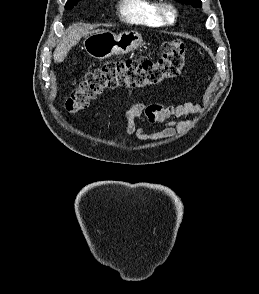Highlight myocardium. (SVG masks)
Wrapping results in <instances>:
<instances>
[{"label":"myocardium","mask_w":259,"mask_h":294,"mask_svg":"<svg viewBox=\"0 0 259 294\" xmlns=\"http://www.w3.org/2000/svg\"><path fill=\"white\" fill-rule=\"evenodd\" d=\"M155 14L161 23L171 25L177 20L176 9L168 2H160L155 5Z\"/></svg>","instance_id":"f54148a6"}]
</instances>
